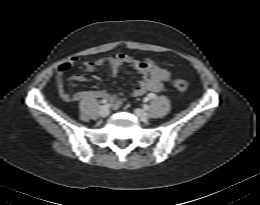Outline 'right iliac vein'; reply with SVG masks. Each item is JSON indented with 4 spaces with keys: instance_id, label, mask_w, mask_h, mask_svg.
I'll return each mask as SVG.
<instances>
[{
    "instance_id": "1",
    "label": "right iliac vein",
    "mask_w": 260,
    "mask_h": 205,
    "mask_svg": "<svg viewBox=\"0 0 260 205\" xmlns=\"http://www.w3.org/2000/svg\"><path fill=\"white\" fill-rule=\"evenodd\" d=\"M110 111L107 106H101L99 109V114L101 117H107L109 115Z\"/></svg>"
}]
</instances>
